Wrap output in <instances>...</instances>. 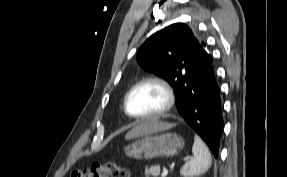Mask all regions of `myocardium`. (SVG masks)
Listing matches in <instances>:
<instances>
[{"label": "myocardium", "mask_w": 287, "mask_h": 177, "mask_svg": "<svg viewBox=\"0 0 287 177\" xmlns=\"http://www.w3.org/2000/svg\"><path fill=\"white\" fill-rule=\"evenodd\" d=\"M147 84H154L158 87H160L164 93L165 96V102L163 104V106L157 110L154 113L151 114H147V115H133L131 114V112L129 111V99L130 96L132 95V93L140 86L143 85H147ZM175 104V93L174 90L172 88V86L163 78L160 77H156V76H151V77H147L144 78L142 80H140L139 82H137L136 84H134L129 91L127 92L125 99H124V110L125 113L131 117L132 119L135 120H146V119H152V118H157L160 117L164 114H166L168 111H170L172 109V107Z\"/></svg>", "instance_id": "myocardium-1"}]
</instances>
